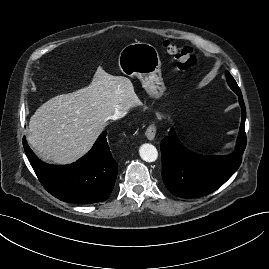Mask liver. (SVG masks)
<instances>
[{"label": "liver", "mask_w": 269, "mask_h": 269, "mask_svg": "<svg viewBox=\"0 0 269 269\" xmlns=\"http://www.w3.org/2000/svg\"><path fill=\"white\" fill-rule=\"evenodd\" d=\"M139 104L130 79L98 69L89 86L41 105L30 118L27 140L42 159L68 164L90 150L114 113Z\"/></svg>", "instance_id": "1"}]
</instances>
